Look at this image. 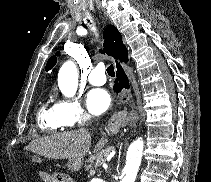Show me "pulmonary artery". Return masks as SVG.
<instances>
[{
	"label": "pulmonary artery",
	"mask_w": 211,
	"mask_h": 182,
	"mask_svg": "<svg viewBox=\"0 0 211 182\" xmlns=\"http://www.w3.org/2000/svg\"><path fill=\"white\" fill-rule=\"evenodd\" d=\"M89 82L94 86H100L106 82V75L102 65L97 66L90 72Z\"/></svg>",
	"instance_id": "e3ab8cb5"
}]
</instances>
